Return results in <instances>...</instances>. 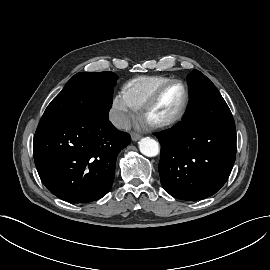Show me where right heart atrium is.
I'll use <instances>...</instances> for the list:
<instances>
[{"mask_svg": "<svg viewBox=\"0 0 270 270\" xmlns=\"http://www.w3.org/2000/svg\"><path fill=\"white\" fill-rule=\"evenodd\" d=\"M134 115L135 109L127 99L124 92L117 93L113 97L110 107V119L114 126L119 130L127 129Z\"/></svg>", "mask_w": 270, "mask_h": 270, "instance_id": "d8ad5b80", "label": "right heart atrium"}]
</instances>
